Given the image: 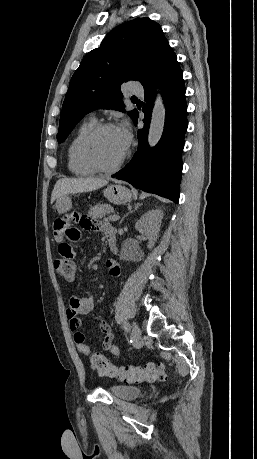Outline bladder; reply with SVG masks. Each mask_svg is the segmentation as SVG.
I'll return each instance as SVG.
<instances>
[{
  "label": "bladder",
  "instance_id": "31cf9c89",
  "mask_svg": "<svg viewBox=\"0 0 257 459\" xmlns=\"http://www.w3.org/2000/svg\"><path fill=\"white\" fill-rule=\"evenodd\" d=\"M110 393L115 397L131 400L139 397L142 393V389L133 385H114L110 388Z\"/></svg>",
  "mask_w": 257,
  "mask_h": 459
}]
</instances>
